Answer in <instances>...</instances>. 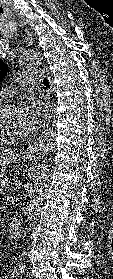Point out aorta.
I'll return each instance as SVG.
<instances>
[{
  "label": "aorta",
  "instance_id": "aorta-1",
  "mask_svg": "<svg viewBox=\"0 0 113 279\" xmlns=\"http://www.w3.org/2000/svg\"><path fill=\"white\" fill-rule=\"evenodd\" d=\"M42 56L39 49H28L21 55V65L24 67L35 66ZM56 133L51 130H45L37 140L38 150L40 152V162L31 176L28 188V205L26 222H32L39 214L41 204L49 182V166L47 164V155L55 146Z\"/></svg>",
  "mask_w": 113,
  "mask_h": 279
}]
</instances>
